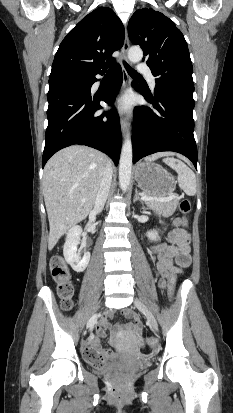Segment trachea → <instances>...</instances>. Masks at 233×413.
<instances>
[{"label": "trachea", "instance_id": "obj_1", "mask_svg": "<svg viewBox=\"0 0 233 413\" xmlns=\"http://www.w3.org/2000/svg\"><path fill=\"white\" fill-rule=\"evenodd\" d=\"M125 68L127 72L132 76V77H141L140 74H138L134 69H132L127 63H124ZM110 73V72H109Z\"/></svg>", "mask_w": 233, "mask_h": 413}]
</instances>
